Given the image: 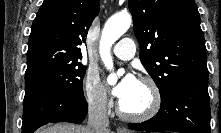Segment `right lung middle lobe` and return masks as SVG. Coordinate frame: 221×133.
I'll return each mask as SVG.
<instances>
[{
  "label": "right lung middle lobe",
  "mask_w": 221,
  "mask_h": 133,
  "mask_svg": "<svg viewBox=\"0 0 221 133\" xmlns=\"http://www.w3.org/2000/svg\"><path fill=\"white\" fill-rule=\"evenodd\" d=\"M85 72L86 67L79 62L53 65L25 75V82L32 80L72 95H83Z\"/></svg>",
  "instance_id": "obj_1"
}]
</instances>
